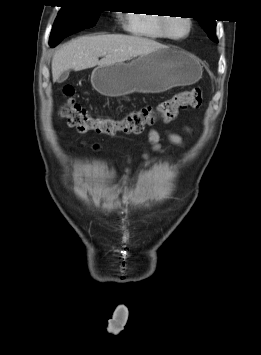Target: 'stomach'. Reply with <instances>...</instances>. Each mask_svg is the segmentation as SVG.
Returning a JSON list of instances; mask_svg holds the SVG:
<instances>
[{"instance_id":"stomach-1","label":"stomach","mask_w":261,"mask_h":355,"mask_svg":"<svg viewBox=\"0 0 261 355\" xmlns=\"http://www.w3.org/2000/svg\"><path fill=\"white\" fill-rule=\"evenodd\" d=\"M202 75L199 60L173 47H162L130 62L98 65L91 75L96 91L109 97L134 92L161 93L175 86L190 85Z\"/></svg>"}]
</instances>
